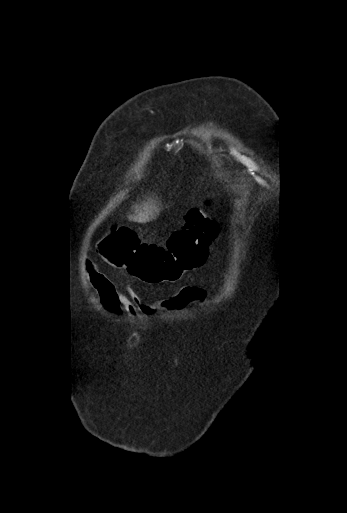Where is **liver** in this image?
Listing matches in <instances>:
<instances>
[{"label":"liver","mask_w":347,"mask_h":513,"mask_svg":"<svg viewBox=\"0 0 347 513\" xmlns=\"http://www.w3.org/2000/svg\"><path fill=\"white\" fill-rule=\"evenodd\" d=\"M152 208H154V209H155V207H152ZM151 210H152V209H151ZM149 212H150V214L152 213L151 211H149Z\"/></svg>","instance_id":"liver-1"}]
</instances>
